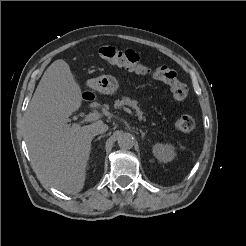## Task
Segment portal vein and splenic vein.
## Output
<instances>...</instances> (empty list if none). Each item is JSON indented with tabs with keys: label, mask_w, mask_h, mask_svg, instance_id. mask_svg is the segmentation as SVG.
Segmentation results:
<instances>
[{
	"label": "portal vein and splenic vein",
	"mask_w": 246,
	"mask_h": 246,
	"mask_svg": "<svg viewBox=\"0 0 246 246\" xmlns=\"http://www.w3.org/2000/svg\"><path fill=\"white\" fill-rule=\"evenodd\" d=\"M123 110L126 111L127 113L131 114V115L133 114L132 111L127 107H123ZM140 117H142V116H140ZM99 118H100V114L98 112H93V113L86 115V117L80 123H87V122L96 121Z\"/></svg>",
	"instance_id": "18ae733b"
}]
</instances>
